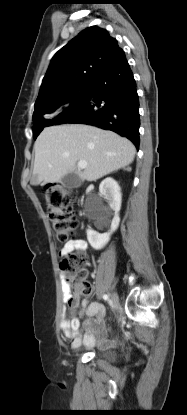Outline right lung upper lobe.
Segmentation results:
<instances>
[{"mask_svg":"<svg viewBox=\"0 0 187 415\" xmlns=\"http://www.w3.org/2000/svg\"><path fill=\"white\" fill-rule=\"evenodd\" d=\"M122 52L107 30L96 26L83 30L53 56L35 108L50 105L68 90L91 82Z\"/></svg>","mask_w":187,"mask_h":415,"instance_id":"cb5924a9","label":"right lung upper lobe"}]
</instances>
